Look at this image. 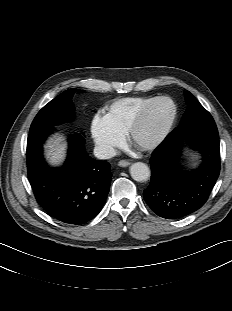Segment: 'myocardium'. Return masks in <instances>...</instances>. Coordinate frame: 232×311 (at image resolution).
I'll return each instance as SVG.
<instances>
[{
	"label": "myocardium",
	"instance_id": "1",
	"mask_svg": "<svg viewBox=\"0 0 232 311\" xmlns=\"http://www.w3.org/2000/svg\"><path fill=\"white\" fill-rule=\"evenodd\" d=\"M160 102H168L171 105L172 113H171L169 120L167 121L165 126L162 128V130L157 134V136L154 139H152L148 143L143 144L141 146H136L133 142L135 132L141 126V124L144 122V120H145L146 116L148 115V113L150 112V110L156 104H158ZM176 118H177V106H176L175 102L170 97H167V96L155 97L153 100L148 102L146 105H144L140 109V111L137 113V115L135 116L133 121L130 123V125H129L126 133H125L126 140L130 145H132L135 148L142 150V151H148V150L155 149L169 135V133L171 132V129H172V127L176 121Z\"/></svg>",
	"mask_w": 232,
	"mask_h": 311
}]
</instances>
